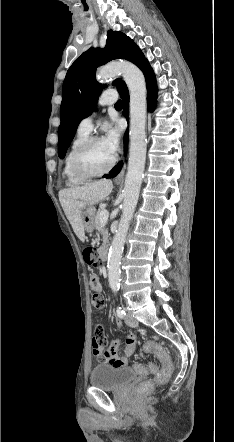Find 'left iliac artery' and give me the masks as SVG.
I'll list each match as a JSON object with an SVG mask.
<instances>
[{
    "label": "left iliac artery",
    "mask_w": 234,
    "mask_h": 442,
    "mask_svg": "<svg viewBox=\"0 0 234 442\" xmlns=\"http://www.w3.org/2000/svg\"><path fill=\"white\" fill-rule=\"evenodd\" d=\"M117 316L121 319L124 318V316L126 315L125 311L121 308V307H117Z\"/></svg>",
    "instance_id": "left-iliac-artery-1"
}]
</instances>
